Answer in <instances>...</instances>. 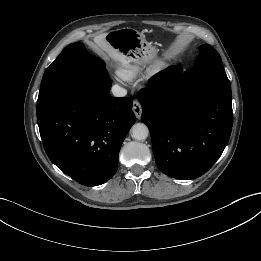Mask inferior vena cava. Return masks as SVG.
Listing matches in <instances>:
<instances>
[{
	"label": "inferior vena cava",
	"mask_w": 261,
	"mask_h": 261,
	"mask_svg": "<svg viewBox=\"0 0 261 261\" xmlns=\"http://www.w3.org/2000/svg\"><path fill=\"white\" fill-rule=\"evenodd\" d=\"M111 91L115 97H125L127 94L126 89L120 87L119 85L112 86Z\"/></svg>",
	"instance_id": "1"
}]
</instances>
